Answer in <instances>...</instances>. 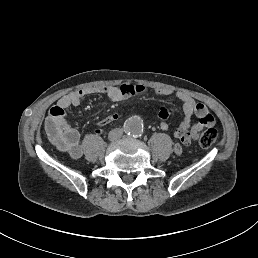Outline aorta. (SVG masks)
<instances>
[{
	"label": "aorta",
	"instance_id": "762f6f07",
	"mask_svg": "<svg viewBox=\"0 0 258 258\" xmlns=\"http://www.w3.org/2000/svg\"><path fill=\"white\" fill-rule=\"evenodd\" d=\"M124 127L127 134L131 136H138L143 130L142 119L138 116L131 117L125 122Z\"/></svg>",
	"mask_w": 258,
	"mask_h": 258
}]
</instances>
